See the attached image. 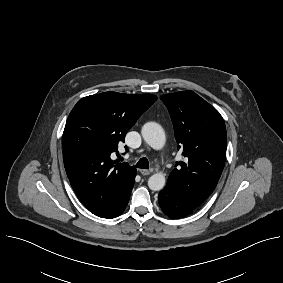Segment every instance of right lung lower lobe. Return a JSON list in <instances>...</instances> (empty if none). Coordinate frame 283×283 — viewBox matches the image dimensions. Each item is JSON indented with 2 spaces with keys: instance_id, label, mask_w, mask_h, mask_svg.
I'll list each match as a JSON object with an SVG mask.
<instances>
[{
  "instance_id": "98d812e1",
  "label": "right lung lower lobe",
  "mask_w": 283,
  "mask_h": 283,
  "mask_svg": "<svg viewBox=\"0 0 283 283\" xmlns=\"http://www.w3.org/2000/svg\"><path fill=\"white\" fill-rule=\"evenodd\" d=\"M131 193V191H130ZM130 193L126 196V198L109 214L102 216V218H115L117 216H119L120 214H122V212L125 210L128 201H129V197H130Z\"/></svg>"
}]
</instances>
